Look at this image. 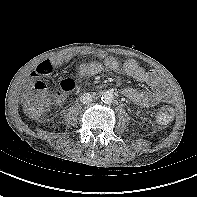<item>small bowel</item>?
<instances>
[{
    "mask_svg": "<svg viewBox=\"0 0 197 197\" xmlns=\"http://www.w3.org/2000/svg\"><path fill=\"white\" fill-rule=\"evenodd\" d=\"M95 55L103 59V61H91L81 64L79 66V74L81 76H93L103 71L116 72L122 69L127 76L138 82L147 83L152 89L146 92L131 87L125 88L123 94L134 103L143 107H151L160 101L173 98V91L168 82L156 71H146L134 60H126L121 63L118 59L107 55L103 51H97ZM71 58V55L66 54L56 59L41 62L32 72V76L49 75L56 66L69 62Z\"/></svg>",
    "mask_w": 197,
    "mask_h": 197,
    "instance_id": "obj_1",
    "label": "small bowel"
}]
</instances>
